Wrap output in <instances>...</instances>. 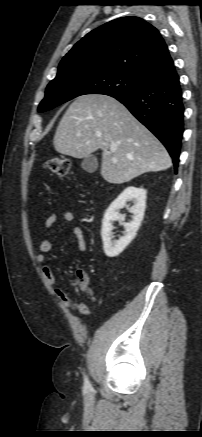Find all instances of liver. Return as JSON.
<instances>
[{"label":"liver","instance_id":"1","mask_svg":"<svg viewBox=\"0 0 202 437\" xmlns=\"http://www.w3.org/2000/svg\"><path fill=\"white\" fill-rule=\"evenodd\" d=\"M53 144L57 152L74 158H87L102 149L101 175L112 184L172 165L161 142L123 104L107 95L77 97L59 122Z\"/></svg>","mask_w":202,"mask_h":437}]
</instances>
